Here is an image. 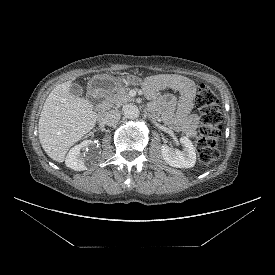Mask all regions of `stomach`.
<instances>
[{
  "instance_id": "stomach-1",
  "label": "stomach",
  "mask_w": 275,
  "mask_h": 275,
  "mask_svg": "<svg viewBox=\"0 0 275 275\" xmlns=\"http://www.w3.org/2000/svg\"><path fill=\"white\" fill-rule=\"evenodd\" d=\"M123 78H115L108 75H96L88 83L94 94L110 95L114 93L123 82Z\"/></svg>"
}]
</instances>
